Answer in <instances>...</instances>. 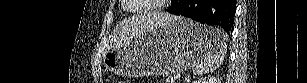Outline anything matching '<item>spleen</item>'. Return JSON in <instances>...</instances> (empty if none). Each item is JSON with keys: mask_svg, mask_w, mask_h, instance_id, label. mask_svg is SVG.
<instances>
[{"mask_svg": "<svg viewBox=\"0 0 307 83\" xmlns=\"http://www.w3.org/2000/svg\"><path fill=\"white\" fill-rule=\"evenodd\" d=\"M212 42L207 55L195 65L193 73L203 75L214 72L222 64L227 52L225 33L219 29L211 28Z\"/></svg>", "mask_w": 307, "mask_h": 83, "instance_id": "3e777b00", "label": "spleen"}]
</instances>
